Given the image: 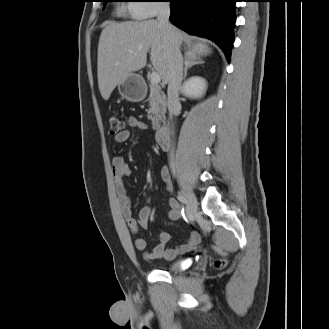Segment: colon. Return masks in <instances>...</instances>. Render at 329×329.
<instances>
[{"instance_id": "colon-1", "label": "colon", "mask_w": 329, "mask_h": 329, "mask_svg": "<svg viewBox=\"0 0 329 329\" xmlns=\"http://www.w3.org/2000/svg\"><path fill=\"white\" fill-rule=\"evenodd\" d=\"M124 129H125V124L120 117L113 115L109 118V130L112 135H117L123 132ZM225 264L226 261L224 259H218L215 261L216 268H223Z\"/></svg>"}]
</instances>
